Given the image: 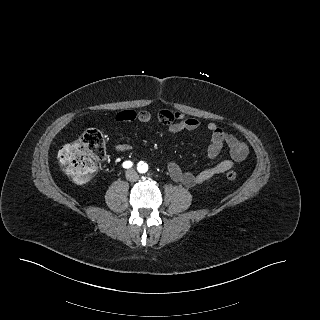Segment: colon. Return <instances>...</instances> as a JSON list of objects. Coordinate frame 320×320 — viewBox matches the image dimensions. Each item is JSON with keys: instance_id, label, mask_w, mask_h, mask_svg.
I'll return each instance as SVG.
<instances>
[{"instance_id": "obj_1", "label": "colon", "mask_w": 320, "mask_h": 320, "mask_svg": "<svg viewBox=\"0 0 320 320\" xmlns=\"http://www.w3.org/2000/svg\"><path fill=\"white\" fill-rule=\"evenodd\" d=\"M106 155L102 133L97 129L86 130L77 141L63 146L58 152L62 170L75 182L86 183L95 174L99 163ZM228 180H235L237 173L228 171Z\"/></svg>"}]
</instances>
